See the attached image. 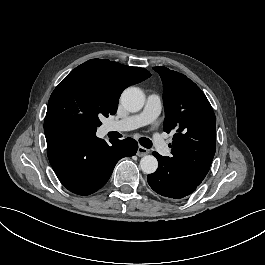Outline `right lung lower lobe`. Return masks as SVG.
Segmentation results:
<instances>
[{
    "label": "right lung lower lobe",
    "mask_w": 265,
    "mask_h": 265,
    "mask_svg": "<svg viewBox=\"0 0 265 265\" xmlns=\"http://www.w3.org/2000/svg\"><path fill=\"white\" fill-rule=\"evenodd\" d=\"M47 155L63 186L78 195H89L103 187L119 159L133 156L138 144L132 138L104 140L60 123H45Z\"/></svg>",
    "instance_id": "obj_1"
}]
</instances>
